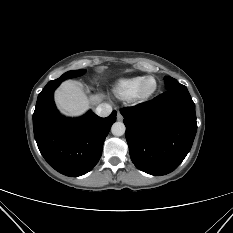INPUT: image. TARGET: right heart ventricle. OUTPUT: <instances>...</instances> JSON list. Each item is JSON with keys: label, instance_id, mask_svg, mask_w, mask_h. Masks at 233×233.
Here are the masks:
<instances>
[{"label": "right heart ventricle", "instance_id": "1", "mask_svg": "<svg viewBox=\"0 0 233 233\" xmlns=\"http://www.w3.org/2000/svg\"><path fill=\"white\" fill-rule=\"evenodd\" d=\"M144 78L136 76L119 80L114 87V94L124 100L133 98Z\"/></svg>", "mask_w": 233, "mask_h": 233}]
</instances>
